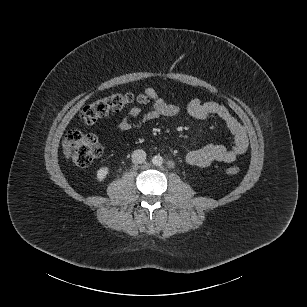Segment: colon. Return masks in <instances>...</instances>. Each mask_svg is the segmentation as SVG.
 <instances>
[{
    "mask_svg": "<svg viewBox=\"0 0 307 307\" xmlns=\"http://www.w3.org/2000/svg\"><path fill=\"white\" fill-rule=\"evenodd\" d=\"M148 101L146 95L132 93H116L108 97L95 100L83 108L81 118L84 123L91 125L99 118L110 112H116L129 105L145 104ZM66 140L72 147L73 160L79 166H88L102 153V145L98 137L87 133L81 128L71 129ZM227 174L237 175L240 172L238 166H230L226 169Z\"/></svg>",
    "mask_w": 307,
    "mask_h": 307,
    "instance_id": "5ec220e1",
    "label": "colon"
}]
</instances>
